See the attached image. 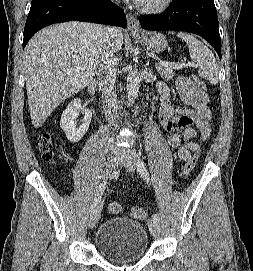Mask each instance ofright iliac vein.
Here are the masks:
<instances>
[{"label": "right iliac vein", "instance_id": "right-iliac-vein-1", "mask_svg": "<svg viewBox=\"0 0 253 271\" xmlns=\"http://www.w3.org/2000/svg\"><path fill=\"white\" fill-rule=\"evenodd\" d=\"M120 157H121V154L119 151H116V150L109 151L108 156H107L108 161L106 164L105 175H104L105 178L112 177L114 171L116 170ZM101 209H102V204H99L91 212L89 223H88L90 228H93L97 224L100 218Z\"/></svg>", "mask_w": 253, "mask_h": 271}]
</instances>
